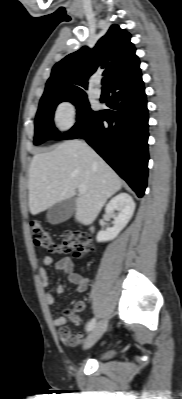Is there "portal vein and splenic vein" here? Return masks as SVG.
Listing matches in <instances>:
<instances>
[{
  "label": "portal vein and splenic vein",
  "instance_id": "1",
  "mask_svg": "<svg viewBox=\"0 0 182 399\" xmlns=\"http://www.w3.org/2000/svg\"><path fill=\"white\" fill-rule=\"evenodd\" d=\"M78 191L80 194H84V193H86V187L84 185H79Z\"/></svg>",
  "mask_w": 182,
  "mask_h": 399
}]
</instances>
